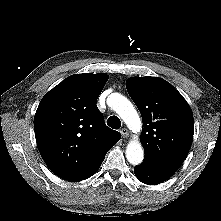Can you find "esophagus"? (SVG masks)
<instances>
[{"label": "esophagus", "mask_w": 221, "mask_h": 221, "mask_svg": "<svg viewBox=\"0 0 221 221\" xmlns=\"http://www.w3.org/2000/svg\"><path fill=\"white\" fill-rule=\"evenodd\" d=\"M120 133H121V135H122L123 138H127V137L129 136V131H128L127 128H122V129L120 130Z\"/></svg>", "instance_id": "obj_1"}]
</instances>
